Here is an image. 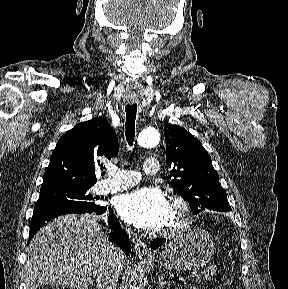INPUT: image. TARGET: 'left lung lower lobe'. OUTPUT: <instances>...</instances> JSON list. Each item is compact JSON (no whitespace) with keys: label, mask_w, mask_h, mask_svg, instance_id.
<instances>
[{"label":"left lung lower lobe","mask_w":288,"mask_h":289,"mask_svg":"<svg viewBox=\"0 0 288 289\" xmlns=\"http://www.w3.org/2000/svg\"><path fill=\"white\" fill-rule=\"evenodd\" d=\"M165 241H166V239H164V238L156 239L152 242L151 247L155 250V249L159 248L161 245H163Z\"/></svg>","instance_id":"0a47b994"}]
</instances>
